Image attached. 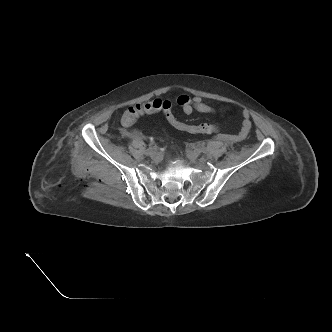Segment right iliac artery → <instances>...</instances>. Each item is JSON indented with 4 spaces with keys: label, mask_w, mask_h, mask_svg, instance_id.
I'll return each instance as SVG.
<instances>
[{
    "label": "right iliac artery",
    "mask_w": 332,
    "mask_h": 332,
    "mask_svg": "<svg viewBox=\"0 0 332 332\" xmlns=\"http://www.w3.org/2000/svg\"><path fill=\"white\" fill-rule=\"evenodd\" d=\"M154 146L152 144H149L147 147V152L153 150Z\"/></svg>",
    "instance_id": "82829eb1"
}]
</instances>
